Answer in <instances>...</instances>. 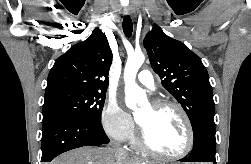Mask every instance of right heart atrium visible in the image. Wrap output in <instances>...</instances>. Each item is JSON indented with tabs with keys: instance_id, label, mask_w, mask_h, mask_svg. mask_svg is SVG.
<instances>
[{
	"instance_id": "right-heart-atrium-1",
	"label": "right heart atrium",
	"mask_w": 251,
	"mask_h": 164,
	"mask_svg": "<svg viewBox=\"0 0 251 164\" xmlns=\"http://www.w3.org/2000/svg\"><path fill=\"white\" fill-rule=\"evenodd\" d=\"M101 124L106 135L117 142L129 140L135 132L132 116L114 100L108 101L103 107Z\"/></svg>"
}]
</instances>
